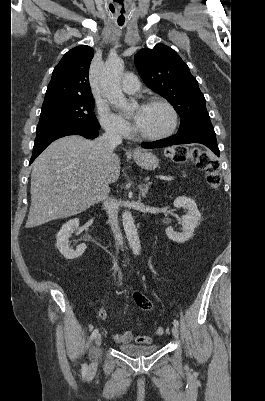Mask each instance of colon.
I'll use <instances>...</instances> for the list:
<instances>
[{
    "instance_id": "1",
    "label": "colon",
    "mask_w": 265,
    "mask_h": 401,
    "mask_svg": "<svg viewBox=\"0 0 265 401\" xmlns=\"http://www.w3.org/2000/svg\"><path fill=\"white\" fill-rule=\"evenodd\" d=\"M166 156L176 162H182L191 159L196 166L203 170L206 174V181L210 188L216 190L221 185V174L216 161H213L209 154L199 149H189L182 146L170 147L165 152ZM143 309L145 305L141 306ZM157 335L161 336L165 333L163 327H158L156 330Z\"/></svg>"
}]
</instances>
